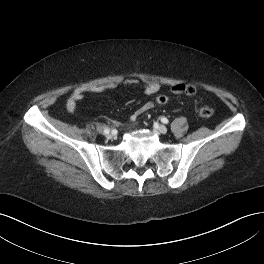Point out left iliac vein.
Listing matches in <instances>:
<instances>
[{"label":"left iliac vein","mask_w":264,"mask_h":264,"mask_svg":"<svg viewBox=\"0 0 264 264\" xmlns=\"http://www.w3.org/2000/svg\"><path fill=\"white\" fill-rule=\"evenodd\" d=\"M156 130L161 134H165L167 132V127L165 125H159Z\"/></svg>","instance_id":"obj_1"}]
</instances>
